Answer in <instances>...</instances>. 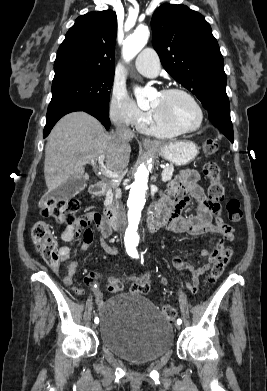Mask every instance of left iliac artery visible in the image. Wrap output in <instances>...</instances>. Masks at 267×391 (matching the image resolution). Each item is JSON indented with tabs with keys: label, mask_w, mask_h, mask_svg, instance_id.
<instances>
[{
	"label": "left iliac artery",
	"mask_w": 267,
	"mask_h": 391,
	"mask_svg": "<svg viewBox=\"0 0 267 391\" xmlns=\"http://www.w3.org/2000/svg\"><path fill=\"white\" fill-rule=\"evenodd\" d=\"M182 323V320L179 318L177 319V324H181Z\"/></svg>",
	"instance_id": "left-iliac-artery-1"
}]
</instances>
